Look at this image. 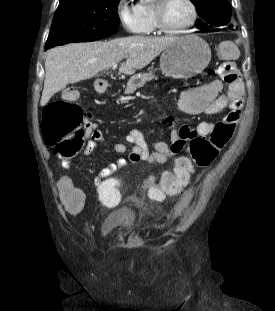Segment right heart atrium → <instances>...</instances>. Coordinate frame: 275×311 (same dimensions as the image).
Returning <instances> with one entry per match:
<instances>
[{
    "instance_id": "obj_1",
    "label": "right heart atrium",
    "mask_w": 275,
    "mask_h": 311,
    "mask_svg": "<svg viewBox=\"0 0 275 311\" xmlns=\"http://www.w3.org/2000/svg\"><path fill=\"white\" fill-rule=\"evenodd\" d=\"M116 16L124 30L131 34H139L144 29L142 17L136 7L131 6L129 0H118L116 4Z\"/></svg>"
}]
</instances>
